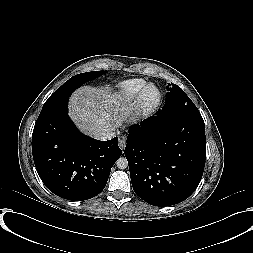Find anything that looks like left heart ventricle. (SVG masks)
Here are the masks:
<instances>
[{
  "label": "left heart ventricle",
  "mask_w": 253,
  "mask_h": 253,
  "mask_svg": "<svg viewBox=\"0 0 253 253\" xmlns=\"http://www.w3.org/2000/svg\"><path fill=\"white\" fill-rule=\"evenodd\" d=\"M156 92L155 90H150L149 93H148V99L149 100H154L156 98Z\"/></svg>",
  "instance_id": "1"
}]
</instances>
